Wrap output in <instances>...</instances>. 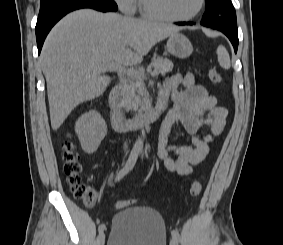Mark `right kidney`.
<instances>
[{"label":"right kidney","mask_w":283,"mask_h":245,"mask_svg":"<svg viewBox=\"0 0 283 245\" xmlns=\"http://www.w3.org/2000/svg\"><path fill=\"white\" fill-rule=\"evenodd\" d=\"M75 132L81 147L87 154L94 153L107 133V126L101 115L95 111L83 114L76 122Z\"/></svg>","instance_id":"obj_1"}]
</instances>
